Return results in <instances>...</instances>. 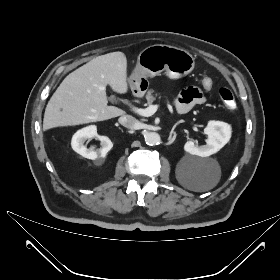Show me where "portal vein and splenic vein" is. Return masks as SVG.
Wrapping results in <instances>:
<instances>
[{
    "label": "portal vein and splenic vein",
    "instance_id": "portal-vein-and-splenic-vein-1",
    "mask_svg": "<svg viewBox=\"0 0 280 280\" xmlns=\"http://www.w3.org/2000/svg\"><path fill=\"white\" fill-rule=\"evenodd\" d=\"M157 109L158 105H150L147 108L131 107L133 112L143 117L152 116L157 111Z\"/></svg>",
    "mask_w": 280,
    "mask_h": 280
}]
</instances>
